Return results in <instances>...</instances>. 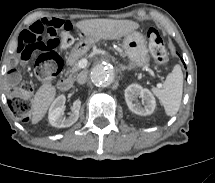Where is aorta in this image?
Instances as JSON below:
<instances>
[{
	"label": "aorta",
	"instance_id": "762f6f07",
	"mask_svg": "<svg viewBox=\"0 0 215 183\" xmlns=\"http://www.w3.org/2000/svg\"><path fill=\"white\" fill-rule=\"evenodd\" d=\"M91 81L99 87H106L110 85L114 80L113 68L105 63L97 64L91 70Z\"/></svg>",
	"mask_w": 215,
	"mask_h": 183
}]
</instances>
